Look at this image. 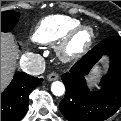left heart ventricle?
I'll return each mask as SVG.
<instances>
[{
	"label": "left heart ventricle",
	"mask_w": 121,
	"mask_h": 121,
	"mask_svg": "<svg viewBox=\"0 0 121 121\" xmlns=\"http://www.w3.org/2000/svg\"><path fill=\"white\" fill-rule=\"evenodd\" d=\"M88 38L87 33H82L80 36L76 38L75 46H79L82 42H84Z\"/></svg>",
	"instance_id": "left-heart-ventricle-1"
}]
</instances>
